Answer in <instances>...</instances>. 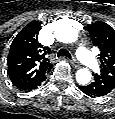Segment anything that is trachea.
Here are the masks:
<instances>
[{
    "instance_id": "obj_1",
    "label": "trachea",
    "mask_w": 115,
    "mask_h": 119,
    "mask_svg": "<svg viewBox=\"0 0 115 119\" xmlns=\"http://www.w3.org/2000/svg\"><path fill=\"white\" fill-rule=\"evenodd\" d=\"M57 56H58V57L65 56V57L71 59L70 53H69V52L67 51V49H65V48L60 49V50L58 51V53H57Z\"/></svg>"
}]
</instances>
